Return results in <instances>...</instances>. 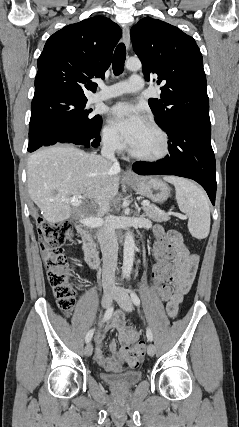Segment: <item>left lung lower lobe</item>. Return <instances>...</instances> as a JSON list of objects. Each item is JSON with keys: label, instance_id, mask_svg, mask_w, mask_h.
Segmentation results:
<instances>
[{"label": "left lung lower lobe", "instance_id": "1", "mask_svg": "<svg viewBox=\"0 0 239 427\" xmlns=\"http://www.w3.org/2000/svg\"><path fill=\"white\" fill-rule=\"evenodd\" d=\"M169 137V155L157 162L133 165L140 175H176L198 182L215 205L216 164L211 146V124L200 120H180L163 128Z\"/></svg>", "mask_w": 239, "mask_h": 427}]
</instances>
